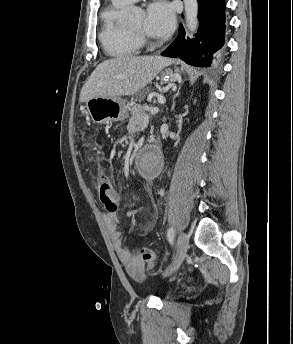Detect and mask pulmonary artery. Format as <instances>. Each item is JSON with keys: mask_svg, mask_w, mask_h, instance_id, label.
Listing matches in <instances>:
<instances>
[{"mask_svg": "<svg viewBox=\"0 0 293 344\" xmlns=\"http://www.w3.org/2000/svg\"><path fill=\"white\" fill-rule=\"evenodd\" d=\"M115 1L116 3H119V4H131V3H134L138 0H113Z\"/></svg>", "mask_w": 293, "mask_h": 344, "instance_id": "obj_1", "label": "pulmonary artery"}]
</instances>
